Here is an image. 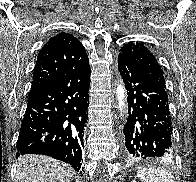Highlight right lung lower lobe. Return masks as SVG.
<instances>
[{
  "label": "right lung lower lobe",
  "instance_id": "obj_1",
  "mask_svg": "<svg viewBox=\"0 0 196 182\" xmlns=\"http://www.w3.org/2000/svg\"><path fill=\"white\" fill-rule=\"evenodd\" d=\"M89 86L87 56L31 94L17 140V156L47 155L80 171Z\"/></svg>",
  "mask_w": 196,
  "mask_h": 182
}]
</instances>
